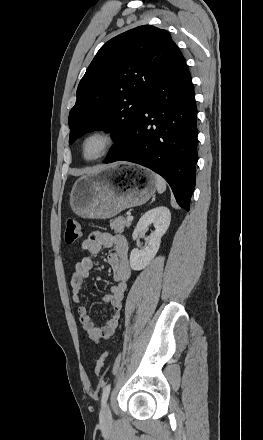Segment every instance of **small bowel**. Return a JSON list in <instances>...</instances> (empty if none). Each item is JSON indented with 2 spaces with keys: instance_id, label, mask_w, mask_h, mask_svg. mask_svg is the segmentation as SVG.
<instances>
[{
  "instance_id": "c3829d8e",
  "label": "small bowel",
  "mask_w": 263,
  "mask_h": 440,
  "mask_svg": "<svg viewBox=\"0 0 263 440\" xmlns=\"http://www.w3.org/2000/svg\"><path fill=\"white\" fill-rule=\"evenodd\" d=\"M111 248L107 256V262L111 267L114 285L110 292L103 296L102 301L111 307V317L102 326H97L85 306L77 309L80 323L88 337L94 342L110 338L117 326L122 310V301L127 283L131 275L128 261V243L122 235H114L108 232L95 231L86 237L81 243V250L92 256L101 254L104 249ZM95 267L92 257L87 256L78 261L71 278L72 301L80 303L83 299V287L85 281Z\"/></svg>"
}]
</instances>
